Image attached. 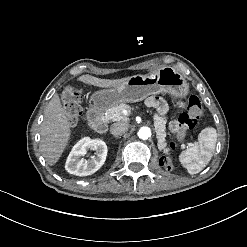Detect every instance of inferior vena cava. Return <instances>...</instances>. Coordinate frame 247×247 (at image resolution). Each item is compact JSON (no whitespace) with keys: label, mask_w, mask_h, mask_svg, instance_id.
Here are the masks:
<instances>
[{"label":"inferior vena cava","mask_w":247,"mask_h":247,"mask_svg":"<svg viewBox=\"0 0 247 247\" xmlns=\"http://www.w3.org/2000/svg\"><path fill=\"white\" fill-rule=\"evenodd\" d=\"M128 130V124L125 122H115L110 126V133L114 136L123 135Z\"/></svg>","instance_id":"1"}]
</instances>
